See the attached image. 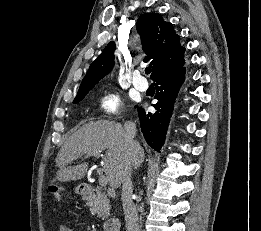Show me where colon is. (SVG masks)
Here are the masks:
<instances>
[{
  "label": "colon",
  "mask_w": 261,
  "mask_h": 231,
  "mask_svg": "<svg viewBox=\"0 0 261 231\" xmlns=\"http://www.w3.org/2000/svg\"><path fill=\"white\" fill-rule=\"evenodd\" d=\"M50 193L58 200L62 198L61 189L57 185H52L50 187Z\"/></svg>",
  "instance_id": "colon-1"
}]
</instances>
